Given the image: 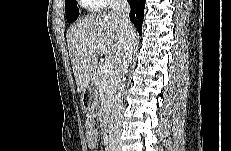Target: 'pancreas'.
I'll return each mask as SVG.
<instances>
[{"label": "pancreas", "instance_id": "cf45deb5", "mask_svg": "<svg viewBox=\"0 0 231 151\" xmlns=\"http://www.w3.org/2000/svg\"><path fill=\"white\" fill-rule=\"evenodd\" d=\"M93 82L100 92L104 105L110 104L113 97V74H104L101 69H99Z\"/></svg>", "mask_w": 231, "mask_h": 151}]
</instances>
